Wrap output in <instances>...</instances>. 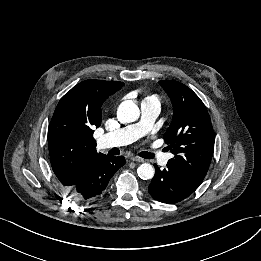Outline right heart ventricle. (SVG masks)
I'll use <instances>...</instances> for the list:
<instances>
[{
    "instance_id": "e07e8e85",
    "label": "right heart ventricle",
    "mask_w": 261,
    "mask_h": 261,
    "mask_svg": "<svg viewBox=\"0 0 261 261\" xmlns=\"http://www.w3.org/2000/svg\"><path fill=\"white\" fill-rule=\"evenodd\" d=\"M145 100H154V101H156L157 98L155 96H150V97L146 98Z\"/></svg>"
}]
</instances>
